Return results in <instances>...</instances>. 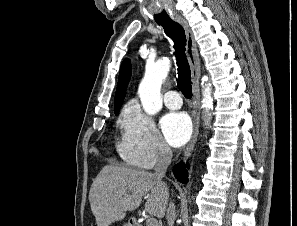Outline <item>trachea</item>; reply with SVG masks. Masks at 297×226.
<instances>
[{
	"instance_id": "obj_1",
	"label": "trachea",
	"mask_w": 297,
	"mask_h": 226,
	"mask_svg": "<svg viewBox=\"0 0 297 226\" xmlns=\"http://www.w3.org/2000/svg\"><path fill=\"white\" fill-rule=\"evenodd\" d=\"M165 34L174 42L175 57L178 66L177 86L187 98L192 96L191 70L185 55L186 36L183 27L174 21L158 23Z\"/></svg>"
}]
</instances>
